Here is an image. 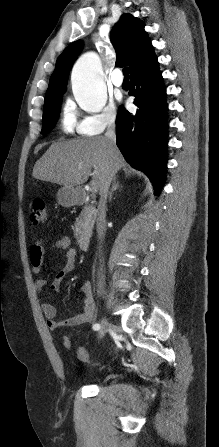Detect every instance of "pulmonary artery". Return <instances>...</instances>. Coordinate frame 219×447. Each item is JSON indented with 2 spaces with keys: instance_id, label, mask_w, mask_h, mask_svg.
Masks as SVG:
<instances>
[{
  "instance_id": "pulmonary-artery-1",
  "label": "pulmonary artery",
  "mask_w": 219,
  "mask_h": 447,
  "mask_svg": "<svg viewBox=\"0 0 219 447\" xmlns=\"http://www.w3.org/2000/svg\"><path fill=\"white\" fill-rule=\"evenodd\" d=\"M110 81L115 87H121L123 84V77L120 69H115L110 76Z\"/></svg>"
}]
</instances>
